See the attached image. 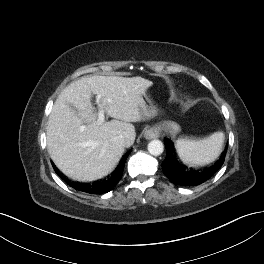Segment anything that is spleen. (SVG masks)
<instances>
[{
    "mask_svg": "<svg viewBox=\"0 0 264 264\" xmlns=\"http://www.w3.org/2000/svg\"><path fill=\"white\" fill-rule=\"evenodd\" d=\"M225 135L215 132L203 140H176V150L183 162L193 166H204L214 162L223 150Z\"/></svg>",
    "mask_w": 264,
    "mask_h": 264,
    "instance_id": "obj_1",
    "label": "spleen"
}]
</instances>
